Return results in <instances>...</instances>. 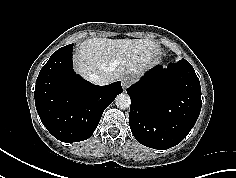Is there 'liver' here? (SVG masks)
I'll return each instance as SVG.
<instances>
[{
  "mask_svg": "<svg viewBox=\"0 0 236 178\" xmlns=\"http://www.w3.org/2000/svg\"><path fill=\"white\" fill-rule=\"evenodd\" d=\"M157 45L149 39L92 38L76 49L75 71L84 77L107 75L112 82L131 74L139 76L155 63Z\"/></svg>",
  "mask_w": 236,
  "mask_h": 178,
  "instance_id": "1",
  "label": "liver"
}]
</instances>
